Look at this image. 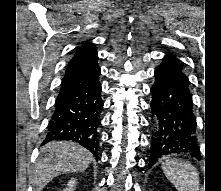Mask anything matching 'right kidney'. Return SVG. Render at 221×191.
Masks as SVG:
<instances>
[{
  "label": "right kidney",
  "instance_id": "right-kidney-1",
  "mask_svg": "<svg viewBox=\"0 0 221 191\" xmlns=\"http://www.w3.org/2000/svg\"><path fill=\"white\" fill-rule=\"evenodd\" d=\"M75 186H76V179L72 178L68 182L67 187L63 191H74Z\"/></svg>",
  "mask_w": 221,
  "mask_h": 191
}]
</instances>
